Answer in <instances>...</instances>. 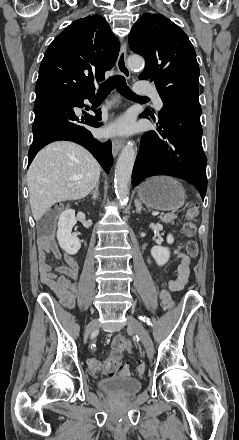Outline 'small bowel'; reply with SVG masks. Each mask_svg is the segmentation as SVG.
I'll list each match as a JSON object with an SVG mask.
<instances>
[{
  "label": "small bowel",
  "mask_w": 239,
  "mask_h": 440,
  "mask_svg": "<svg viewBox=\"0 0 239 440\" xmlns=\"http://www.w3.org/2000/svg\"><path fill=\"white\" fill-rule=\"evenodd\" d=\"M49 253H52L57 260L62 258L55 243L39 246L41 281L58 296L64 306L72 308L76 301V280L79 275V265L72 256L65 254L63 256L64 265L56 268V271L60 274L58 276L52 271V268L48 263ZM174 253L180 259L177 268L178 275L175 279L168 282V286L171 290L179 291L188 284L190 276V258L178 250H175Z\"/></svg>",
  "instance_id": "c3829d8e"
}]
</instances>
